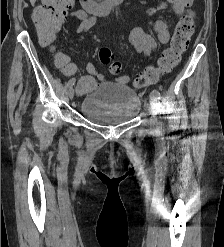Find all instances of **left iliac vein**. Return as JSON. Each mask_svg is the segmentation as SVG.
I'll return each mask as SVG.
<instances>
[{
    "label": "left iliac vein",
    "instance_id": "1",
    "mask_svg": "<svg viewBox=\"0 0 224 247\" xmlns=\"http://www.w3.org/2000/svg\"><path fill=\"white\" fill-rule=\"evenodd\" d=\"M150 99V105H151V112L153 115V118L151 120V127L153 129H157L158 128V120H157V113H158V102H157V98L151 93L149 96Z\"/></svg>",
    "mask_w": 224,
    "mask_h": 247
}]
</instances>
